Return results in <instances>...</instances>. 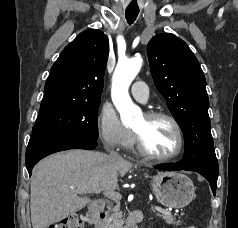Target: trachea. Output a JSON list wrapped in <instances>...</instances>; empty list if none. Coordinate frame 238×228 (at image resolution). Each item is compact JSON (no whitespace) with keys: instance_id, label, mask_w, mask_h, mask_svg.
<instances>
[{"instance_id":"3493384b","label":"trachea","mask_w":238,"mask_h":228,"mask_svg":"<svg viewBox=\"0 0 238 228\" xmlns=\"http://www.w3.org/2000/svg\"><path fill=\"white\" fill-rule=\"evenodd\" d=\"M139 14V10H126L125 17L129 24H132Z\"/></svg>"}]
</instances>
